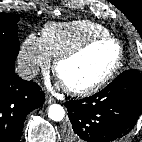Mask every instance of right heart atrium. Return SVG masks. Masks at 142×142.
I'll return each mask as SVG.
<instances>
[{
	"mask_svg": "<svg viewBox=\"0 0 142 142\" xmlns=\"http://www.w3.org/2000/svg\"><path fill=\"white\" fill-rule=\"evenodd\" d=\"M18 62L23 76L32 78L39 70L49 68L51 57L46 51L41 39L35 35H30L21 45Z\"/></svg>",
	"mask_w": 142,
	"mask_h": 142,
	"instance_id": "right-heart-atrium-1",
	"label": "right heart atrium"
}]
</instances>
